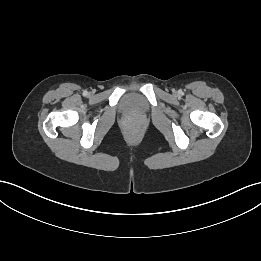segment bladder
I'll return each mask as SVG.
<instances>
[{"label":"bladder","instance_id":"bladder-1","mask_svg":"<svg viewBox=\"0 0 261 261\" xmlns=\"http://www.w3.org/2000/svg\"><path fill=\"white\" fill-rule=\"evenodd\" d=\"M121 109L127 115L139 116L146 113L148 104L143 95L129 93L122 98Z\"/></svg>","mask_w":261,"mask_h":261}]
</instances>
